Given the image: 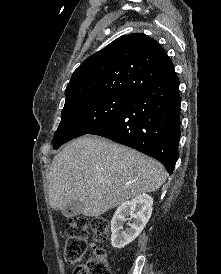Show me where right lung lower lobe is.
<instances>
[{
	"label": "right lung lower lobe",
	"instance_id": "obj_1",
	"mask_svg": "<svg viewBox=\"0 0 221 274\" xmlns=\"http://www.w3.org/2000/svg\"><path fill=\"white\" fill-rule=\"evenodd\" d=\"M180 102L179 80L173 69L133 96L115 116L89 134L149 155L172 174L179 154Z\"/></svg>",
	"mask_w": 221,
	"mask_h": 274
}]
</instances>
